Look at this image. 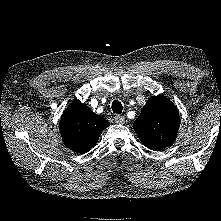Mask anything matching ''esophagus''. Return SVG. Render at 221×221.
<instances>
[{
  "instance_id": "obj_1",
  "label": "esophagus",
  "mask_w": 221,
  "mask_h": 221,
  "mask_svg": "<svg viewBox=\"0 0 221 221\" xmlns=\"http://www.w3.org/2000/svg\"><path fill=\"white\" fill-rule=\"evenodd\" d=\"M114 119H115V122H116L117 124H124V123H125V117H124V116L116 115V116L114 117Z\"/></svg>"
}]
</instances>
